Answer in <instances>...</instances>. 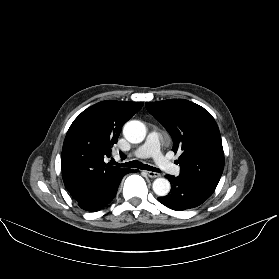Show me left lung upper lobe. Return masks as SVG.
I'll return each instance as SVG.
<instances>
[{
	"label": "left lung upper lobe",
	"mask_w": 279,
	"mask_h": 279,
	"mask_svg": "<svg viewBox=\"0 0 279 279\" xmlns=\"http://www.w3.org/2000/svg\"><path fill=\"white\" fill-rule=\"evenodd\" d=\"M145 106L171 135L172 150L181 153L177 160L179 177L214 192L223 172L224 153L212 115L183 99L149 102Z\"/></svg>",
	"instance_id": "5c2ea615"
}]
</instances>
